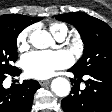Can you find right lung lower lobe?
<instances>
[{
  "instance_id": "98d812e1",
  "label": "right lung lower lobe",
  "mask_w": 112,
  "mask_h": 112,
  "mask_svg": "<svg viewBox=\"0 0 112 112\" xmlns=\"http://www.w3.org/2000/svg\"><path fill=\"white\" fill-rule=\"evenodd\" d=\"M21 70L16 68L9 75L18 76ZM7 77H0V112H30L35 92L41 87L35 80H24L22 84H13L5 89L2 85Z\"/></svg>"
}]
</instances>
